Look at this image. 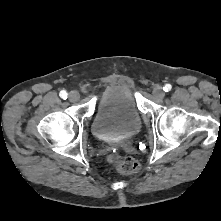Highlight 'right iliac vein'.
<instances>
[{"label": "right iliac vein", "mask_w": 221, "mask_h": 221, "mask_svg": "<svg viewBox=\"0 0 221 221\" xmlns=\"http://www.w3.org/2000/svg\"><path fill=\"white\" fill-rule=\"evenodd\" d=\"M68 98L71 102H76L80 99V94L77 91H71Z\"/></svg>", "instance_id": "63e3f726"}]
</instances>
